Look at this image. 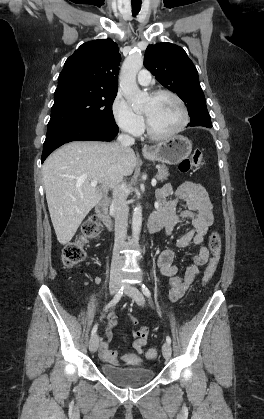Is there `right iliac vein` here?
<instances>
[{
    "label": "right iliac vein",
    "mask_w": 264,
    "mask_h": 419,
    "mask_svg": "<svg viewBox=\"0 0 264 419\" xmlns=\"http://www.w3.org/2000/svg\"><path fill=\"white\" fill-rule=\"evenodd\" d=\"M120 286H121L120 278L119 277L112 278L109 285L110 293L115 294L119 290ZM98 344H99L98 336L95 334L91 337L89 341L90 351L95 352L98 348Z\"/></svg>",
    "instance_id": "obj_1"
}]
</instances>
